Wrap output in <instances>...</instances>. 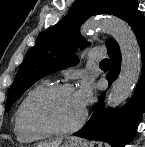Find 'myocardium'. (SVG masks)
<instances>
[{
	"mask_svg": "<svg viewBox=\"0 0 145 147\" xmlns=\"http://www.w3.org/2000/svg\"><path fill=\"white\" fill-rule=\"evenodd\" d=\"M68 90H74V87L68 83L52 84L32 95L25 108V119L27 123L49 135H67L78 130L85 123L87 118V111L85 108L80 119L75 124L68 127L57 126L42 110V105L46 100Z\"/></svg>",
	"mask_w": 145,
	"mask_h": 147,
	"instance_id": "obj_1",
	"label": "myocardium"
}]
</instances>
